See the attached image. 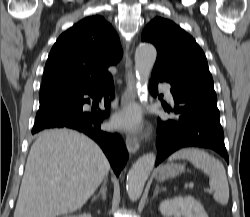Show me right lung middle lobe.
I'll use <instances>...</instances> for the list:
<instances>
[{
    "instance_id": "dd1d6c3e",
    "label": "right lung middle lobe",
    "mask_w": 250,
    "mask_h": 217,
    "mask_svg": "<svg viewBox=\"0 0 250 217\" xmlns=\"http://www.w3.org/2000/svg\"><path fill=\"white\" fill-rule=\"evenodd\" d=\"M65 105H66V101L61 100V101H57V102H54V103H51L48 105L40 106L39 111L37 112V115H36L35 122L38 121L39 119L45 117L49 113L64 107Z\"/></svg>"
}]
</instances>
